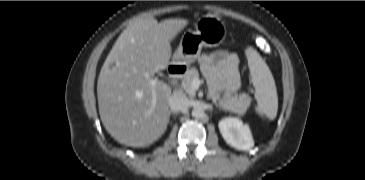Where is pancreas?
Wrapping results in <instances>:
<instances>
[{
    "instance_id": "cf45deb5",
    "label": "pancreas",
    "mask_w": 365,
    "mask_h": 180,
    "mask_svg": "<svg viewBox=\"0 0 365 180\" xmlns=\"http://www.w3.org/2000/svg\"><path fill=\"white\" fill-rule=\"evenodd\" d=\"M195 78L199 79V72L195 67H193L189 69L185 74L182 82L183 88L186 90L190 89L191 83ZM249 103L250 99L245 94H241L239 96H233L222 100L220 102V106L225 110H230L242 114L246 111Z\"/></svg>"
}]
</instances>
